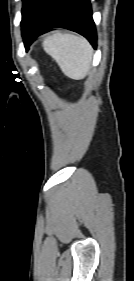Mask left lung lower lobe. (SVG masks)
Wrapping results in <instances>:
<instances>
[{
    "mask_svg": "<svg viewBox=\"0 0 134 281\" xmlns=\"http://www.w3.org/2000/svg\"><path fill=\"white\" fill-rule=\"evenodd\" d=\"M62 27L86 37L96 49V30L89 0H41L22 30L26 50L49 28Z\"/></svg>",
    "mask_w": 134,
    "mask_h": 281,
    "instance_id": "1",
    "label": "left lung lower lobe"
}]
</instances>
